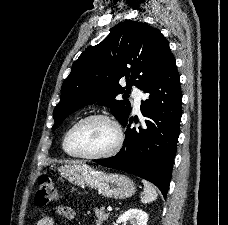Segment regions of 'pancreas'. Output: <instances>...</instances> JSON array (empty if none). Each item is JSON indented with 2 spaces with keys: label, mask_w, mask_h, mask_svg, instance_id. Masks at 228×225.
<instances>
[{
  "label": "pancreas",
  "mask_w": 228,
  "mask_h": 225,
  "mask_svg": "<svg viewBox=\"0 0 228 225\" xmlns=\"http://www.w3.org/2000/svg\"><path fill=\"white\" fill-rule=\"evenodd\" d=\"M94 211L98 219V221H96V225H102L103 221H107L109 213H105L103 207L102 209H94Z\"/></svg>",
  "instance_id": "1"
}]
</instances>
